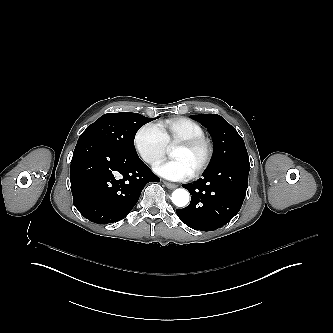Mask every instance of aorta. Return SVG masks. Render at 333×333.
Segmentation results:
<instances>
[{"instance_id": "obj_1", "label": "aorta", "mask_w": 333, "mask_h": 333, "mask_svg": "<svg viewBox=\"0 0 333 333\" xmlns=\"http://www.w3.org/2000/svg\"><path fill=\"white\" fill-rule=\"evenodd\" d=\"M171 200L177 207H184L189 203V192L185 189L178 188L173 191Z\"/></svg>"}]
</instances>
